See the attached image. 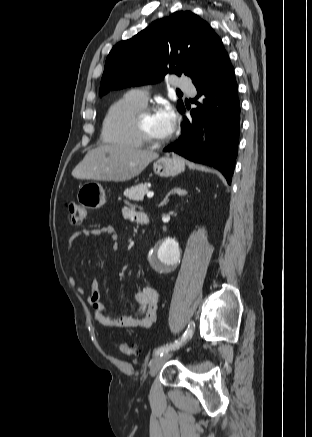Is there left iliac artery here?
Segmentation results:
<instances>
[{
	"instance_id": "44dca946",
	"label": "left iliac artery",
	"mask_w": 312,
	"mask_h": 437,
	"mask_svg": "<svg viewBox=\"0 0 312 437\" xmlns=\"http://www.w3.org/2000/svg\"><path fill=\"white\" fill-rule=\"evenodd\" d=\"M192 325H194L193 322H191V325H190V324L188 325V328H187V330L184 332L183 336H182L181 338L175 340L174 343L166 344V345H164V346H161V347L157 348V349L155 350V352H154L155 356L163 355L164 353L168 352V351L171 350V349L178 348V347L181 345V343H182L183 341H185L186 339H188L189 337L192 336V333H193V331H192Z\"/></svg>"
}]
</instances>
